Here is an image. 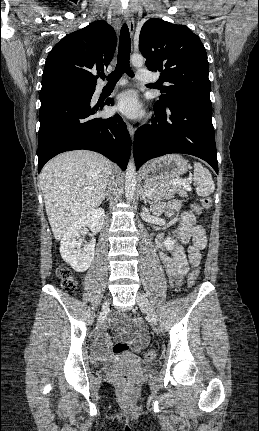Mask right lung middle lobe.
<instances>
[{"instance_id":"1","label":"right lung middle lobe","mask_w":259,"mask_h":431,"mask_svg":"<svg viewBox=\"0 0 259 431\" xmlns=\"http://www.w3.org/2000/svg\"><path fill=\"white\" fill-rule=\"evenodd\" d=\"M94 89H81L69 84H54L40 91V100H46L63 94H91Z\"/></svg>"}]
</instances>
